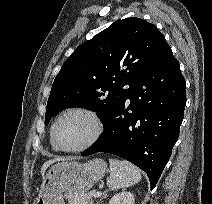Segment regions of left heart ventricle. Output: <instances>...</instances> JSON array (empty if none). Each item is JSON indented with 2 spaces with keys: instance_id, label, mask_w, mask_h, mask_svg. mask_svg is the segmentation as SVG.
<instances>
[{
  "instance_id": "b2bd125f",
  "label": "left heart ventricle",
  "mask_w": 212,
  "mask_h": 204,
  "mask_svg": "<svg viewBox=\"0 0 212 204\" xmlns=\"http://www.w3.org/2000/svg\"><path fill=\"white\" fill-rule=\"evenodd\" d=\"M90 121L79 114L65 116L56 127V137L59 144L66 148L82 145L91 135Z\"/></svg>"
}]
</instances>
